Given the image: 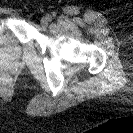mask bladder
Masks as SVG:
<instances>
[{"mask_svg":"<svg viewBox=\"0 0 133 133\" xmlns=\"http://www.w3.org/2000/svg\"><path fill=\"white\" fill-rule=\"evenodd\" d=\"M22 53L20 44L10 35H0V56L7 59L18 58Z\"/></svg>","mask_w":133,"mask_h":133,"instance_id":"31cf9c89","label":"bladder"}]
</instances>
